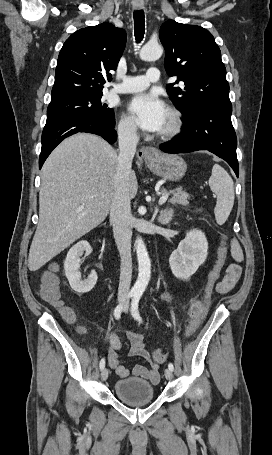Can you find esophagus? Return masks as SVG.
Returning a JSON list of instances; mask_svg holds the SVG:
<instances>
[{
  "mask_svg": "<svg viewBox=\"0 0 272 455\" xmlns=\"http://www.w3.org/2000/svg\"><path fill=\"white\" fill-rule=\"evenodd\" d=\"M134 9L140 10L143 8L142 4H135ZM159 152L156 148L154 147H143L141 149V158H143L145 161H151L154 160L158 156Z\"/></svg>",
  "mask_w": 272,
  "mask_h": 455,
  "instance_id": "1",
  "label": "esophagus"
}]
</instances>
